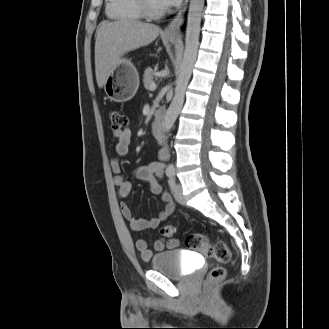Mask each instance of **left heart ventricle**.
I'll return each mask as SVG.
<instances>
[{
  "mask_svg": "<svg viewBox=\"0 0 329 329\" xmlns=\"http://www.w3.org/2000/svg\"><path fill=\"white\" fill-rule=\"evenodd\" d=\"M151 5L155 8V9H162L165 8L166 6L163 4L162 0H150Z\"/></svg>",
  "mask_w": 329,
  "mask_h": 329,
  "instance_id": "1",
  "label": "left heart ventricle"
}]
</instances>
